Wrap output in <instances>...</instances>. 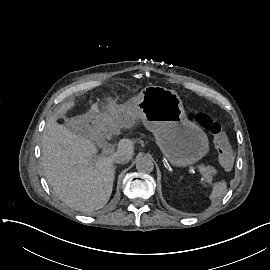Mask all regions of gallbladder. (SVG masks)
Masks as SVG:
<instances>
[{
    "label": "gallbladder",
    "instance_id": "gallbladder-1",
    "mask_svg": "<svg viewBox=\"0 0 270 270\" xmlns=\"http://www.w3.org/2000/svg\"><path fill=\"white\" fill-rule=\"evenodd\" d=\"M87 122L83 117L65 118V126L75 134L80 135L83 126H86Z\"/></svg>",
    "mask_w": 270,
    "mask_h": 270
}]
</instances>
